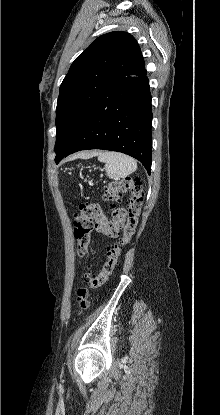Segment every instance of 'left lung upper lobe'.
Here are the masks:
<instances>
[{
  "mask_svg": "<svg viewBox=\"0 0 220 415\" xmlns=\"http://www.w3.org/2000/svg\"><path fill=\"white\" fill-rule=\"evenodd\" d=\"M144 68L137 41L122 31L100 36L81 53L60 86L56 108V156L70 147L89 112L110 84Z\"/></svg>",
  "mask_w": 220,
  "mask_h": 415,
  "instance_id": "5c2ea615",
  "label": "left lung upper lobe"
}]
</instances>
